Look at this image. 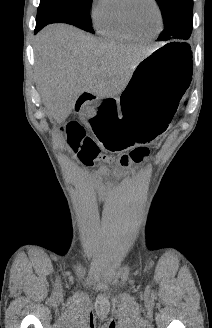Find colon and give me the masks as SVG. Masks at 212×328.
<instances>
[{
	"label": "colon",
	"mask_w": 212,
	"mask_h": 328,
	"mask_svg": "<svg viewBox=\"0 0 212 328\" xmlns=\"http://www.w3.org/2000/svg\"><path fill=\"white\" fill-rule=\"evenodd\" d=\"M92 128V127H91ZM69 148L77 155L79 160L87 166L97 163L99 173H108L109 170H135V163H141L150 154L147 147H137L130 153H110L107 157L99 140L88 135L84 126L78 121H70L62 127Z\"/></svg>",
	"instance_id": "colon-1"
}]
</instances>
